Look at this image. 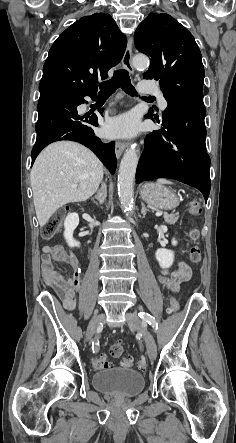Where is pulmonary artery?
Listing matches in <instances>:
<instances>
[{
  "mask_svg": "<svg viewBox=\"0 0 236 443\" xmlns=\"http://www.w3.org/2000/svg\"><path fill=\"white\" fill-rule=\"evenodd\" d=\"M138 89L142 93H151L153 91L150 87H148L147 82H144V81L139 83ZM167 105L168 104H167V101L165 100V98L162 95H160V107L163 110H165L167 108Z\"/></svg>",
  "mask_w": 236,
  "mask_h": 443,
  "instance_id": "1",
  "label": "pulmonary artery"
}]
</instances>
